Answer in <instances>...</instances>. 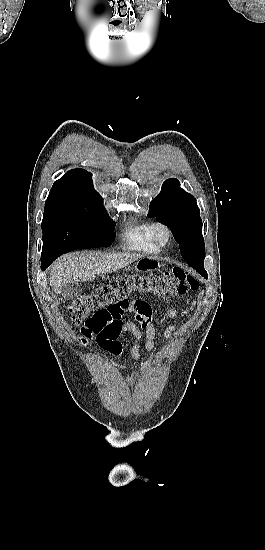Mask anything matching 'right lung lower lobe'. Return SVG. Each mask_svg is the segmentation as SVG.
Here are the masks:
<instances>
[{"label":"right lung lower lobe","mask_w":265,"mask_h":550,"mask_svg":"<svg viewBox=\"0 0 265 550\" xmlns=\"http://www.w3.org/2000/svg\"><path fill=\"white\" fill-rule=\"evenodd\" d=\"M51 263L49 260L41 259V269L45 270Z\"/></svg>","instance_id":"right-lung-lower-lobe-1"}]
</instances>
